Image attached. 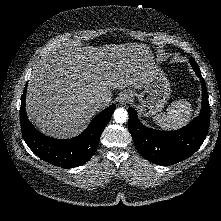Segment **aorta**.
I'll return each mask as SVG.
<instances>
[{"label": "aorta", "instance_id": "aorta-1", "mask_svg": "<svg viewBox=\"0 0 221 221\" xmlns=\"http://www.w3.org/2000/svg\"><path fill=\"white\" fill-rule=\"evenodd\" d=\"M113 118L117 123H124L128 119V112L124 108H117L114 111Z\"/></svg>", "mask_w": 221, "mask_h": 221}]
</instances>
